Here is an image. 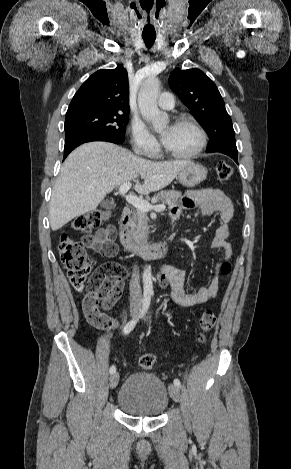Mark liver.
<instances>
[{
    "label": "liver",
    "instance_id": "1",
    "mask_svg": "<svg viewBox=\"0 0 291 469\" xmlns=\"http://www.w3.org/2000/svg\"><path fill=\"white\" fill-rule=\"evenodd\" d=\"M191 161L154 162L107 142L76 148L64 161L52 190L50 226L62 228L75 217L93 211L117 186L135 182L134 190L149 194L168 186ZM141 176L143 184L138 180Z\"/></svg>",
    "mask_w": 291,
    "mask_h": 469
}]
</instances>
